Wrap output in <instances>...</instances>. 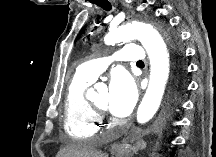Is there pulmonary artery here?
Listing matches in <instances>:
<instances>
[{
  "label": "pulmonary artery",
  "mask_w": 216,
  "mask_h": 157,
  "mask_svg": "<svg viewBox=\"0 0 216 157\" xmlns=\"http://www.w3.org/2000/svg\"><path fill=\"white\" fill-rule=\"evenodd\" d=\"M145 59V52L138 45H126L109 56L89 60L77 68V74L85 79L94 81L103 73L110 62H137Z\"/></svg>",
  "instance_id": "e3ab8cb5"
}]
</instances>
